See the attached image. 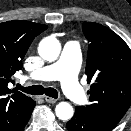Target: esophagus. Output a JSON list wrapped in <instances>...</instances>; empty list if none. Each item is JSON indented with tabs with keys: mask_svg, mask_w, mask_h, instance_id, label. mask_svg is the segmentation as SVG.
Returning <instances> with one entry per match:
<instances>
[{
	"mask_svg": "<svg viewBox=\"0 0 131 131\" xmlns=\"http://www.w3.org/2000/svg\"><path fill=\"white\" fill-rule=\"evenodd\" d=\"M44 99L48 103H55V102H57V99L49 97V96H45Z\"/></svg>",
	"mask_w": 131,
	"mask_h": 131,
	"instance_id": "1",
	"label": "esophagus"
}]
</instances>
